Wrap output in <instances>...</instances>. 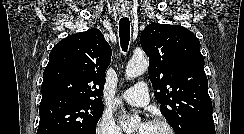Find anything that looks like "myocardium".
<instances>
[{"instance_id":"1","label":"myocardium","mask_w":244,"mask_h":134,"mask_svg":"<svg viewBox=\"0 0 244 134\" xmlns=\"http://www.w3.org/2000/svg\"><path fill=\"white\" fill-rule=\"evenodd\" d=\"M149 124L161 126V127L165 128L169 134H177V132L175 131L173 126L166 120L153 119L149 122Z\"/></svg>"}]
</instances>
